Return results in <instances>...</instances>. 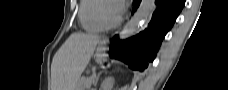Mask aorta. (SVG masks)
<instances>
[{
	"instance_id": "aorta-1",
	"label": "aorta",
	"mask_w": 228,
	"mask_h": 90,
	"mask_svg": "<svg viewBox=\"0 0 228 90\" xmlns=\"http://www.w3.org/2000/svg\"><path fill=\"white\" fill-rule=\"evenodd\" d=\"M155 8V0H142L135 14L120 32V39L124 40L133 36L153 14Z\"/></svg>"
}]
</instances>
